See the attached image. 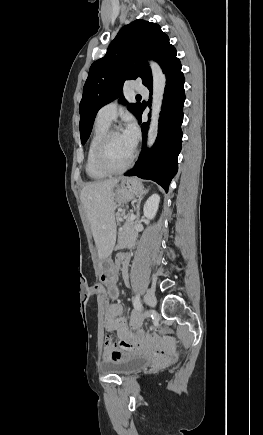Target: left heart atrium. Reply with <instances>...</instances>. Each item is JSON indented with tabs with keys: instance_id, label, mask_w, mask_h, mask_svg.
Returning <instances> with one entry per match:
<instances>
[{
	"instance_id": "1",
	"label": "left heart atrium",
	"mask_w": 263,
	"mask_h": 435,
	"mask_svg": "<svg viewBox=\"0 0 263 435\" xmlns=\"http://www.w3.org/2000/svg\"><path fill=\"white\" fill-rule=\"evenodd\" d=\"M123 136H124L125 140L127 141L128 145L132 149H134L135 146L137 145L138 140H139V129L133 120H130L127 123V125L123 131Z\"/></svg>"
}]
</instances>
